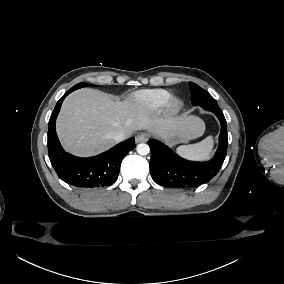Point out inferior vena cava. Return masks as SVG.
I'll list each match as a JSON object with an SVG mask.
<instances>
[{"label":"inferior vena cava","instance_id":"1","mask_svg":"<svg viewBox=\"0 0 284 284\" xmlns=\"http://www.w3.org/2000/svg\"><path fill=\"white\" fill-rule=\"evenodd\" d=\"M125 139V135L123 133H118L117 135L114 136V140L116 142H121Z\"/></svg>","mask_w":284,"mask_h":284}]
</instances>
